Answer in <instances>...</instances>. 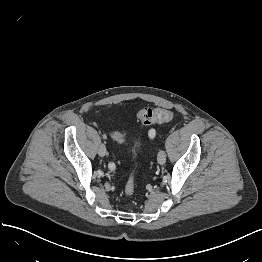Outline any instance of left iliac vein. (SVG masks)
<instances>
[{
    "instance_id": "4c4485c4",
    "label": "left iliac vein",
    "mask_w": 262,
    "mask_h": 262,
    "mask_svg": "<svg viewBox=\"0 0 262 262\" xmlns=\"http://www.w3.org/2000/svg\"><path fill=\"white\" fill-rule=\"evenodd\" d=\"M157 159H158V163L160 165H164L165 164V162H166V153H165V151L163 149L159 150Z\"/></svg>"
}]
</instances>
